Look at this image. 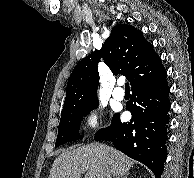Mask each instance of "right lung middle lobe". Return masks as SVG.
I'll return each mask as SVG.
<instances>
[{
  "label": "right lung middle lobe",
  "mask_w": 194,
  "mask_h": 178,
  "mask_svg": "<svg viewBox=\"0 0 194 178\" xmlns=\"http://www.w3.org/2000/svg\"><path fill=\"white\" fill-rule=\"evenodd\" d=\"M98 107V101H94L84 107L61 114L58 136L55 146L80 138L77 132L79 123L83 117Z\"/></svg>",
  "instance_id": "right-lung-middle-lobe-1"
}]
</instances>
